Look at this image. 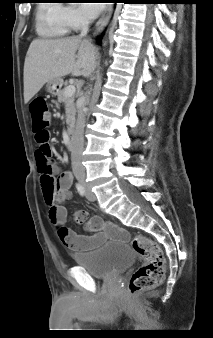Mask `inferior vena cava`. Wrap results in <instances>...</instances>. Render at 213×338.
<instances>
[{"label": "inferior vena cava", "instance_id": "inferior-vena-cava-1", "mask_svg": "<svg viewBox=\"0 0 213 338\" xmlns=\"http://www.w3.org/2000/svg\"><path fill=\"white\" fill-rule=\"evenodd\" d=\"M88 31H89V20L84 19L82 24V30L79 37L86 36ZM84 127H85V114L83 111V106H81L78 110V117L71 148L72 170L74 176L78 180L85 179V168L82 165V152L84 149Z\"/></svg>", "mask_w": 213, "mask_h": 338}]
</instances>
